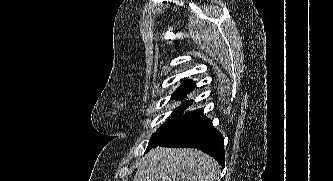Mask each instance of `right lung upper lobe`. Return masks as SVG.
I'll use <instances>...</instances> for the list:
<instances>
[{
	"label": "right lung upper lobe",
	"instance_id": "cb5924a9",
	"mask_svg": "<svg viewBox=\"0 0 333 181\" xmlns=\"http://www.w3.org/2000/svg\"><path fill=\"white\" fill-rule=\"evenodd\" d=\"M196 87V84L194 81L187 80L183 85H181L172 95L171 99H183L184 96H186L187 93L194 90ZM193 101H187L183 103L179 108H187L189 105H191ZM203 110V109H200Z\"/></svg>",
	"mask_w": 333,
	"mask_h": 181
}]
</instances>
